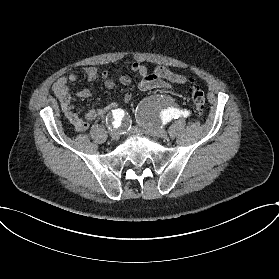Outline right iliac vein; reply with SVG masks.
<instances>
[{
  "label": "right iliac vein",
  "instance_id": "right-iliac-vein-1",
  "mask_svg": "<svg viewBox=\"0 0 279 279\" xmlns=\"http://www.w3.org/2000/svg\"><path fill=\"white\" fill-rule=\"evenodd\" d=\"M109 135L113 140H117L119 138V132L116 129H112L109 131Z\"/></svg>",
  "mask_w": 279,
  "mask_h": 279
}]
</instances>
